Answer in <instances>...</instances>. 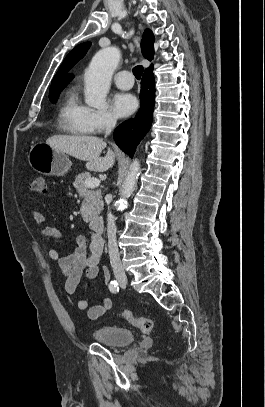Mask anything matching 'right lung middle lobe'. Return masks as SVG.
<instances>
[{"mask_svg":"<svg viewBox=\"0 0 265 407\" xmlns=\"http://www.w3.org/2000/svg\"><path fill=\"white\" fill-rule=\"evenodd\" d=\"M68 83L65 84H58V85H52L50 87L49 91V99L52 103H55L57 101L59 93L63 90V88L67 85Z\"/></svg>","mask_w":265,"mask_h":407,"instance_id":"obj_1","label":"right lung middle lobe"}]
</instances>
